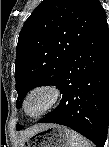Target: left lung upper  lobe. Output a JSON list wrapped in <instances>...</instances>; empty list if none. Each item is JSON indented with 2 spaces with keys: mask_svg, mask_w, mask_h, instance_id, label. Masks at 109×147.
<instances>
[{
  "mask_svg": "<svg viewBox=\"0 0 109 147\" xmlns=\"http://www.w3.org/2000/svg\"><path fill=\"white\" fill-rule=\"evenodd\" d=\"M105 15L99 0H44L25 21L15 62L19 102L33 88L55 85L64 67ZM23 126L17 125L21 130Z\"/></svg>",
  "mask_w": 109,
  "mask_h": 147,
  "instance_id": "obj_1",
  "label": "left lung upper lobe"
}]
</instances>
